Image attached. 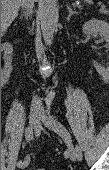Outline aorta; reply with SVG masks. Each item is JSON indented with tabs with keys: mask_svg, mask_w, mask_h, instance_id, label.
Returning a JSON list of instances; mask_svg holds the SVG:
<instances>
[{
	"mask_svg": "<svg viewBox=\"0 0 109 170\" xmlns=\"http://www.w3.org/2000/svg\"><path fill=\"white\" fill-rule=\"evenodd\" d=\"M57 22V0H43L40 14V27L43 39L48 45L52 43L53 35L57 27ZM52 100L53 95L51 94L46 101L50 103Z\"/></svg>",
	"mask_w": 109,
	"mask_h": 170,
	"instance_id": "obj_1",
	"label": "aorta"
}]
</instances>
